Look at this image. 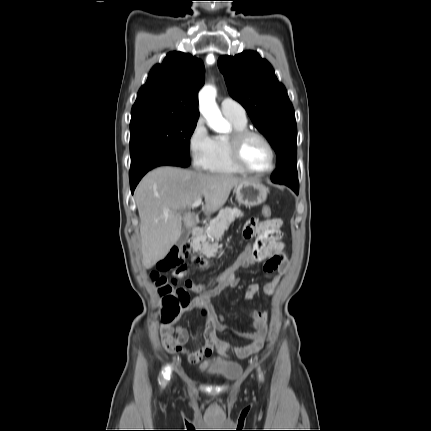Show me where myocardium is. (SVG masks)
<instances>
[{"instance_id":"f54148a6","label":"myocardium","mask_w":431,"mask_h":431,"mask_svg":"<svg viewBox=\"0 0 431 431\" xmlns=\"http://www.w3.org/2000/svg\"><path fill=\"white\" fill-rule=\"evenodd\" d=\"M257 137L264 142L271 154V166L266 170H255L246 165L242 157V147L247 139ZM229 154L233 164L242 172L256 175H265L274 171L276 168L277 155L269 139L262 133L244 129L233 131L228 137Z\"/></svg>"}]
</instances>
